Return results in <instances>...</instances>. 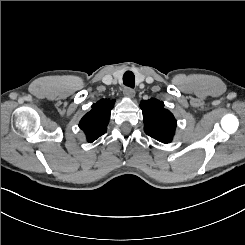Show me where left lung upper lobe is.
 <instances>
[{"mask_svg":"<svg viewBox=\"0 0 245 245\" xmlns=\"http://www.w3.org/2000/svg\"><path fill=\"white\" fill-rule=\"evenodd\" d=\"M144 119V131L150 137L170 143L175 134L176 119L164 108V103L157 99L143 100L140 103Z\"/></svg>","mask_w":245,"mask_h":245,"instance_id":"5c2ea615","label":"left lung upper lobe"}]
</instances>
